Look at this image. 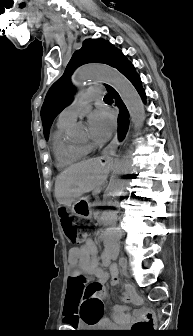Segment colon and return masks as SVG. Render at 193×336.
Segmentation results:
<instances>
[{"label":"colon","mask_w":193,"mask_h":336,"mask_svg":"<svg viewBox=\"0 0 193 336\" xmlns=\"http://www.w3.org/2000/svg\"><path fill=\"white\" fill-rule=\"evenodd\" d=\"M60 218L67 239L72 243L80 242V229L78 228L76 219L66 212H61ZM78 285L80 293L85 299L81 305L82 318L86 323H96L101 315L97 296L102 292V285L99 282H87L83 278L78 282ZM153 325L154 312L149 308H144L142 318L132 326L130 335L145 336L153 329Z\"/></svg>","instance_id":"colon-1"}]
</instances>
